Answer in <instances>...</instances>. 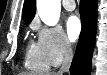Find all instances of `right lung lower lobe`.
Here are the masks:
<instances>
[{
	"label": "right lung lower lobe",
	"instance_id": "98d812e1",
	"mask_svg": "<svg viewBox=\"0 0 107 75\" xmlns=\"http://www.w3.org/2000/svg\"><path fill=\"white\" fill-rule=\"evenodd\" d=\"M98 0H81L80 16L82 30L70 67L71 75H90L92 54L97 31Z\"/></svg>",
	"mask_w": 107,
	"mask_h": 75
}]
</instances>
